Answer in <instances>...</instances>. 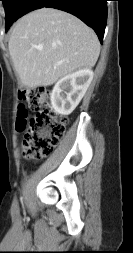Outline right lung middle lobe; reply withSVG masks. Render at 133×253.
Wrapping results in <instances>:
<instances>
[{"mask_svg": "<svg viewBox=\"0 0 133 253\" xmlns=\"http://www.w3.org/2000/svg\"><path fill=\"white\" fill-rule=\"evenodd\" d=\"M5 8L6 31L17 20L20 6L24 0H0Z\"/></svg>", "mask_w": 133, "mask_h": 253, "instance_id": "right-lung-middle-lobe-1", "label": "right lung middle lobe"}]
</instances>
